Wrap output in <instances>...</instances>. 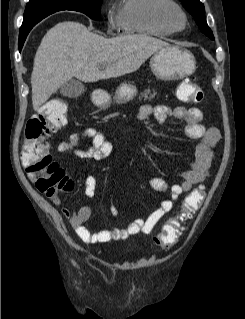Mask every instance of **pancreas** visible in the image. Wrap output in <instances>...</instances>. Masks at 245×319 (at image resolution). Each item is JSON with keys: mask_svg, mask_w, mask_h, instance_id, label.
<instances>
[{"mask_svg": "<svg viewBox=\"0 0 245 319\" xmlns=\"http://www.w3.org/2000/svg\"><path fill=\"white\" fill-rule=\"evenodd\" d=\"M157 92L153 89L152 91L150 89H146L144 92L140 93L139 98L142 99H153L155 98Z\"/></svg>", "mask_w": 245, "mask_h": 319, "instance_id": "obj_1", "label": "pancreas"}]
</instances>
